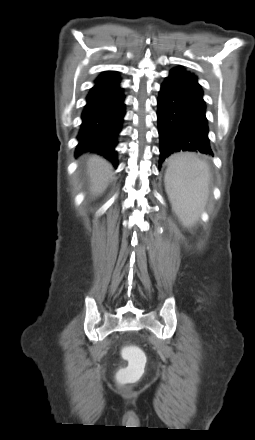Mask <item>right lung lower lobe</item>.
I'll list each match as a JSON object with an SVG mask.
<instances>
[{"label":"right lung lower lobe","mask_w":255,"mask_h":440,"mask_svg":"<svg viewBox=\"0 0 255 440\" xmlns=\"http://www.w3.org/2000/svg\"><path fill=\"white\" fill-rule=\"evenodd\" d=\"M124 99L117 72H103L96 78L81 115L76 156L93 152L111 161L115 167L118 166L115 147L125 115Z\"/></svg>","instance_id":"right-lung-lower-lobe-1"}]
</instances>
